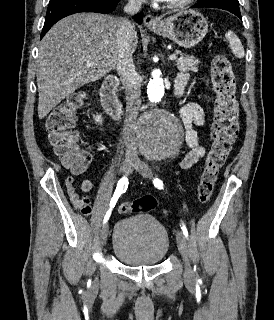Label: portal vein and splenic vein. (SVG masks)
<instances>
[{
  "instance_id": "portal-vein-and-splenic-vein-1",
  "label": "portal vein and splenic vein",
  "mask_w": 274,
  "mask_h": 320,
  "mask_svg": "<svg viewBox=\"0 0 274 320\" xmlns=\"http://www.w3.org/2000/svg\"><path fill=\"white\" fill-rule=\"evenodd\" d=\"M176 58V54H172V56H170V60H176ZM87 66H91L90 62H87Z\"/></svg>"
}]
</instances>
